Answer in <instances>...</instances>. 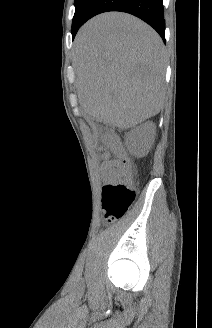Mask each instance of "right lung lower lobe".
<instances>
[{"mask_svg": "<svg viewBox=\"0 0 212 328\" xmlns=\"http://www.w3.org/2000/svg\"><path fill=\"white\" fill-rule=\"evenodd\" d=\"M108 11L126 12L142 19L152 26L165 42L163 0H95L83 24L93 16ZM77 31L73 32V38Z\"/></svg>", "mask_w": 212, "mask_h": 328, "instance_id": "obj_1", "label": "right lung lower lobe"}]
</instances>
